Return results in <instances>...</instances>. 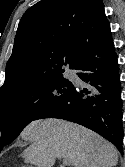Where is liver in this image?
Masks as SVG:
<instances>
[{
  "label": "liver",
  "instance_id": "obj_1",
  "mask_svg": "<svg viewBox=\"0 0 125 167\" xmlns=\"http://www.w3.org/2000/svg\"><path fill=\"white\" fill-rule=\"evenodd\" d=\"M31 144L22 153L25 163L52 167L57 158H68L73 167H113L118 151L97 133L60 119L32 121L21 133Z\"/></svg>",
  "mask_w": 125,
  "mask_h": 167
}]
</instances>
